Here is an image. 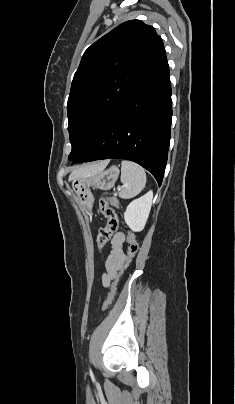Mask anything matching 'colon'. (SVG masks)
I'll list each match as a JSON object with an SVG mask.
<instances>
[{
  "label": "colon",
  "instance_id": "obj_1",
  "mask_svg": "<svg viewBox=\"0 0 235 404\" xmlns=\"http://www.w3.org/2000/svg\"><path fill=\"white\" fill-rule=\"evenodd\" d=\"M118 205V201L115 197H102L99 200V208L102 213V215L106 218V225L102 228H100L98 236H97V248L98 251L101 252L105 244L111 239L113 234L117 231L119 227V220L118 216L114 210V206ZM127 242H128V252L127 256L125 259V262L123 263L121 270L119 273L116 275L111 289L104 300L102 304V310L107 309L112 302L114 301L115 295H116V290H117V284L119 281V277L123 273V271L127 268V266L130 264L132 259L135 257L136 253L138 252L139 245L136 240V237L134 233L131 231H128L127 233Z\"/></svg>",
  "mask_w": 235,
  "mask_h": 404
}]
</instances>
